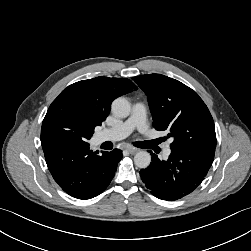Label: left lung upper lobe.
I'll list each match as a JSON object with an SVG mask.
<instances>
[{
  "label": "left lung upper lobe",
  "instance_id": "obj_1",
  "mask_svg": "<svg viewBox=\"0 0 251 251\" xmlns=\"http://www.w3.org/2000/svg\"><path fill=\"white\" fill-rule=\"evenodd\" d=\"M148 98L153 126L167 130L171 149L216 148L213 118L199 95L178 80L161 74L132 78Z\"/></svg>",
  "mask_w": 251,
  "mask_h": 251
}]
</instances>
